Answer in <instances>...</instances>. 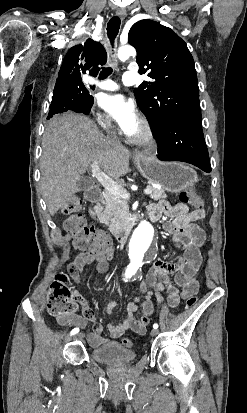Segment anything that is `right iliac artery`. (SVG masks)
Returning a JSON list of instances; mask_svg holds the SVG:
<instances>
[{
  "instance_id": "right-iliac-artery-1",
  "label": "right iliac artery",
  "mask_w": 247,
  "mask_h": 413,
  "mask_svg": "<svg viewBox=\"0 0 247 413\" xmlns=\"http://www.w3.org/2000/svg\"><path fill=\"white\" fill-rule=\"evenodd\" d=\"M79 332V328H74L72 331H71V335H74V334H77Z\"/></svg>"
}]
</instances>
